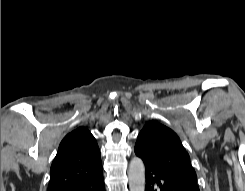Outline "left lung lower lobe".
Here are the masks:
<instances>
[{
    "instance_id": "0a47b994",
    "label": "left lung lower lobe",
    "mask_w": 245,
    "mask_h": 191,
    "mask_svg": "<svg viewBox=\"0 0 245 191\" xmlns=\"http://www.w3.org/2000/svg\"><path fill=\"white\" fill-rule=\"evenodd\" d=\"M145 173V191H200L198 185L148 163H145Z\"/></svg>"
}]
</instances>
